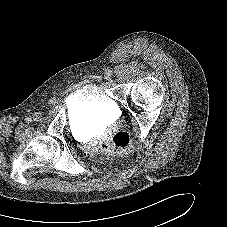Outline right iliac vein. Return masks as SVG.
<instances>
[{"label": "right iliac vein", "mask_w": 227, "mask_h": 227, "mask_svg": "<svg viewBox=\"0 0 227 227\" xmlns=\"http://www.w3.org/2000/svg\"><path fill=\"white\" fill-rule=\"evenodd\" d=\"M35 120H41L42 119V114L40 112H36L34 115Z\"/></svg>", "instance_id": "obj_1"}]
</instances>
